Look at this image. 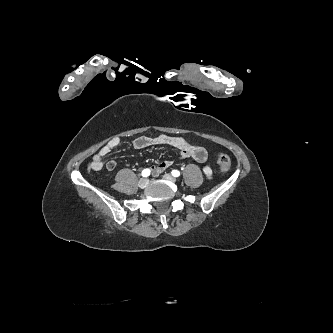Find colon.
<instances>
[{"label":"colon","instance_id":"obj_1","mask_svg":"<svg viewBox=\"0 0 333 333\" xmlns=\"http://www.w3.org/2000/svg\"><path fill=\"white\" fill-rule=\"evenodd\" d=\"M217 164L222 173H227L231 167V160L225 153H220L217 156Z\"/></svg>","mask_w":333,"mask_h":333}]
</instances>
